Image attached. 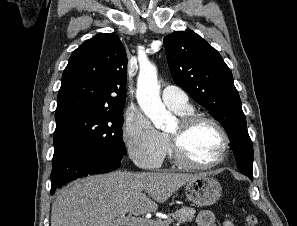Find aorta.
<instances>
[{"instance_id": "aorta-1", "label": "aorta", "mask_w": 297, "mask_h": 226, "mask_svg": "<svg viewBox=\"0 0 297 226\" xmlns=\"http://www.w3.org/2000/svg\"><path fill=\"white\" fill-rule=\"evenodd\" d=\"M137 101L144 114L157 129H164L171 118L160 99L156 67L149 64L140 68L137 80Z\"/></svg>"}]
</instances>
